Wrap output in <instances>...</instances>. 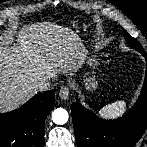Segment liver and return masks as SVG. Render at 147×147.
Wrapping results in <instances>:
<instances>
[{"mask_svg":"<svg viewBox=\"0 0 147 147\" xmlns=\"http://www.w3.org/2000/svg\"><path fill=\"white\" fill-rule=\"evenodd\" d=\"M18 37L19 47L0 45V111L27 100L40 78L76 72L87 58L79 36L55 23L26 25Z\"/></svg>","mask_w":147,"mask_h":147,"instance_id":"liver-1","label":"liver"}]
</instances>
